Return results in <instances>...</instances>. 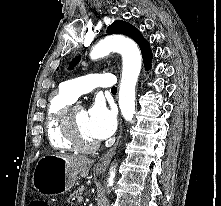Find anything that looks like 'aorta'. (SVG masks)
Here are the masks:
<instances>
[{
  "label": "aorta",
  "mask_w": 221,
  "mask_h": 206,
  "mask_svg": "<svg viewBox=\"0 0 221 206\" xmlns=\"http://www.w3.org/2000/svg\"><path fill=\"white\" fill-rule=\"evenodd\" d=\"M118 52L123 58L122 78L119 89V107L126 121H131L135 114V86L141 70V53L131 39L121 35H111L100 40L91 50L92 60ZM115 169H110L108 186L114 183Z\"/></svg>",
  "instance_id": "1"
}]
</instances>
